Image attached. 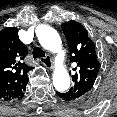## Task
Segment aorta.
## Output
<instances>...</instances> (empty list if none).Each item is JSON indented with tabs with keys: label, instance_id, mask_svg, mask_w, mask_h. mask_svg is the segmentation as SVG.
<instances>
[{
	"label": "aorta",
	"instance_id": "1",
	"mask_svg": "<svg viewBox=\"0 0 117 117\" xmlns=\"http://www.w3.org/2000/svg\"><path fill=\"white\" fill-rule=\"evenodd\" d=\"M39 43L46 50L57 53L56 67L53 73V85L59 92H65L70 86V76L63 66L65 52L62 50V41L58 32L47 25L41 26L37 33Z\"/></svg>",
	"mask_w": 117,
	"mask_h": 117
}]
</instances>
